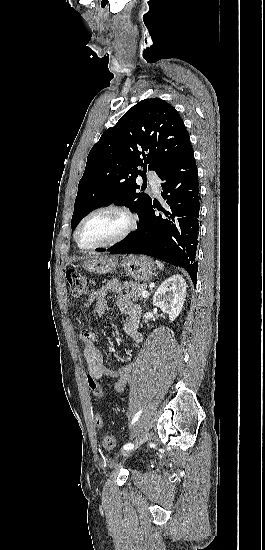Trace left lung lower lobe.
I'll list each match as a JSON object with an SVG mask.
<instances>
[{"mask_svg":"<svg viewBox=\"0 0 265 550\" xmlns=\"http://www.w3.org/2000/svg\"><path fill=\"white\" fill-rule=\"evenodd\" d=\"M159 178L163 181L161 195L167 199V208L151 203L138 229L124 242L107 251L111 254L139 253L159 258L184 268L196 285L200 197L191 143L180 151ZM155 208L162 211L163 216H156Z\"/></svg>","mask_w":265,"mask_h":550,"instance_id":"0a47b994","label":"left lung lower lobe"}]
</instances>
